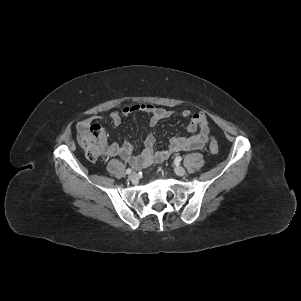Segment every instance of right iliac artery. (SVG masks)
<instances>
[{
  "label": "right iliac artery",
  "mask_w": 301,
  "mask_h": 301,
  "mask_svg": "<svg viewBox=\"0 0 301 301\" xmlns=\"http://www.w3.org/2000/svg\"><path fill=\"white\" fill-rule=\"evenodd\" d=\"M131 171H132V170H131L130 168H128V169L126 170V173H127V174H130Z\"/></svg>",
  "instance_id": "right-iliac-artery-1"
}]
</instances>
